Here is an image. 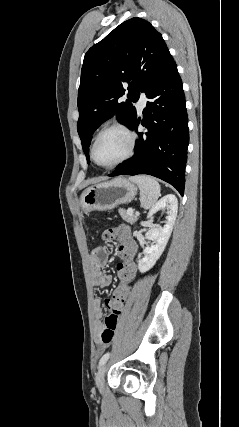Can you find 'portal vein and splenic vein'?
Here are the masks:
<instances>
[{"label":"portal vein and splenic vein","instance_id":"1","mask_svg":"<svg viewBox=\"0 0 239 427\" xmlns=\"http://www.w3.org/2000/svg\"><path fill=\"white\" fill-rule=\"evenodd\" d=\"M127 212H128V214H133V210H132V208H129V209L127 210ZM137 215H139V214L137 213Z\"/></svg>","mask_w":239,"mask_h":427}]
</instances>
